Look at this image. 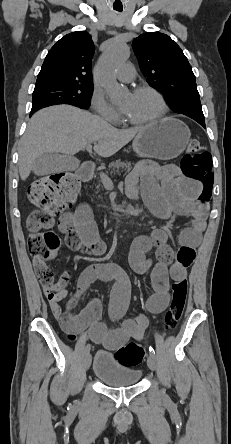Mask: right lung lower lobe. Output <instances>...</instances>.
<instances>
[{
    "label": "right lung lower lobe",
    "mask_w": 231,
    "mask_h": 444,
    "mask_svg": "<svg viewBox=\"0 0 231 444\" xmlns=\"http://www.w3.org/2000/svg\"><path fill=\"white\" fill-rule=\"evenodd\" d=\"M35 111H31V114H30V116L34 113Z\"/></svg>",
    "instance_id": "obj_1"
}]
</instances>
